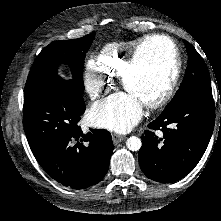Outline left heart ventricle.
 <instances>
[{"label":"left heart ventricle","instance_id":"left-heart-ventricle-1","mask_svg":"<svg viewBox=\"0 0 221 221\" xmlns=\"http://www.w3.org/2000/svg\"><path fill=\"white\" fill-rule=\"evenodd\" d=\"M173 67L170 45L163 39L148 42L126 81V92L142 104L153 99L168 81Z\"/></svg>","mask_w":221,"mask_h":221}]
</instances>
